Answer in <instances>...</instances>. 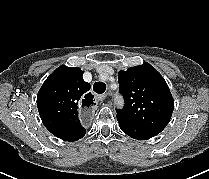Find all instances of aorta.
<instances>
[{
    "instance_id": "aorta-1",
    "label": "aorta",
    "mask_w": 209,
    "mask_h": 179,
    "mask_svg": "<svg viewBox=\"0 0 209 179\" xmlns=\"http://www.w3.org/2000/svg\"><path fill=\"white\" fill-rule=\"evenodd\" d=\"M116 102H117V104H118L119 106H122V103H123V102H122L121 99H117Z\"/></svg>"
}]
</instances>
